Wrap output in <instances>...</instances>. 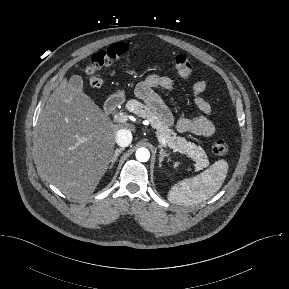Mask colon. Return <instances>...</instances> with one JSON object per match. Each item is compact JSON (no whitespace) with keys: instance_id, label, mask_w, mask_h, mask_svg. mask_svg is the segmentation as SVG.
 <instances>
[{"instance_id":"1","label":"colon","mask_w":289,"mask_h":289,"mask_svg":"<svg viewBox=\"0 0 289 289\" xmlns=\"http://www.w3.org/2000/svg\"><path fill=\"white\" fill-rule=\"evenodd\" d=\"M129 50L126 43H115L105 50L94 54L90 65L87 67L88 82L90 86L97 88L101 85V80L97 72L108 69L119 62ZM175 72L183 78H188L193 74L194 67L192 62L184 55H177L172 61ZM229 147L223 139H217L212 144V151L217 155L227 154Z\"/></svg>"}]
</instances>
